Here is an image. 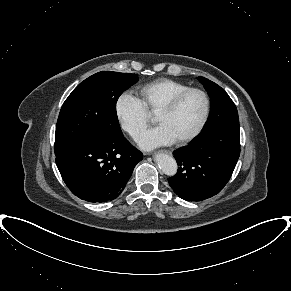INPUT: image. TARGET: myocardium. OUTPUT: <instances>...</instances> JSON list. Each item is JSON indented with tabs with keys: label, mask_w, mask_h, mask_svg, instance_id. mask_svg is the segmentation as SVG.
Returning a JSON list of instances; mask_svg holds the SVG:
<instances>
[{
	"label": "myocardium",
	"mask_w": 291,
	"mask_h": 291,
	"mask_svg": "<svg viewBox=\"0 0 291 291\" xmlns=\"http://www.w3.org/2000/svg\"><path fill=\"white\" fill-rule=\"evenodd\" d=\"M190 93H198L204 99V110L200 122L198 123L197 127L191 132L189 135L175 141L177 145H184L192 140H194L204 129L206 123L209 118L210 109H211V101L208 93L203 89L196 88V87H189L177 94H175L170 100H168L156 114H168L171 113L181 102V100Z\"/></svg>",
	"instance_id": "obj_1"
}]
</instances>
